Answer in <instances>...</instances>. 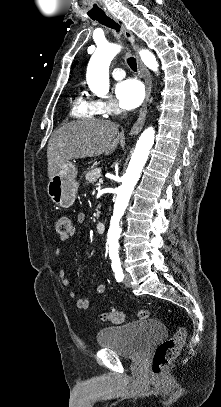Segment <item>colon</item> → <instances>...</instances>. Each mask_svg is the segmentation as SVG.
Masks as SVG:
<instances>
[{
	"label": "colon",
	"mask_w": 221,
	"mask_h": 407,
	"mask_svg": "<svg viewBox=\"0 0 221 407\" xmlns=\"http://www.w3.org/2000/svg\"><path fill=\"white\" fill-rule=\"evenodd\" d=\"M71 224L66 216L60 217L56 222V232L60 236H67L70 233ZM150 313L147 310H141L138 313L140 319L149 318ZM103 321L114 324H121L125 321L126 315L123 311L109 310L100 314ZM186 337V331L183 327H178L172 337L164 340L157 347L153 358V373L162 374L171 364L172 360L178 355Z\"/></svg>",
	"instance_id": "obj_1"
}]
</instances>
